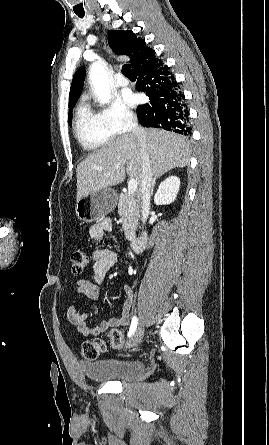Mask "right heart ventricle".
I'll return each mask as SVG.
<instances>
[{"mask_svg": "<svg viewBox=\"0 0 269 445\" xmlns=\"http://www.w3.org/2000/svg\"><path fill=\"white\" fill-rule=\"evenodd\" d=\"M74 132L78 143L85 150H95L108 144L113 135L104 125L99 113L84 101L75 110Z\"/></svg>", "mask_w": 269, "mask_h": 445, "instance_id": "1", "label": "right heart ventricle"}]
</instances>
